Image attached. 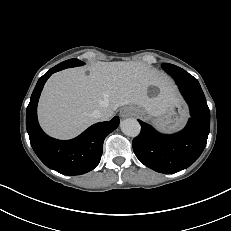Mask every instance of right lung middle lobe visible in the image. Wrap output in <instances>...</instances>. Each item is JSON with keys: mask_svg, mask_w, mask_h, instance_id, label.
Instances as JSON below:
<instances>
[{"mask_svg": "<svg viewBox=\"0 0 231 231\" xmlns=\"http://www.w3.org/2000/svg\"><path fill=\"white\" fill-rule=\"evenodd\" d=\"M81 65H84V63L78 59H69V60H66L60 64H58L57 66L58 67H61V66H65V68H69V67H75V66H81Z\"/></svg>", "mask_w": 231, "mask_h": 231, "instance_id": "right-lung-middle-lobe-1", "label": "right lung middle lobe"}]
</instances>
